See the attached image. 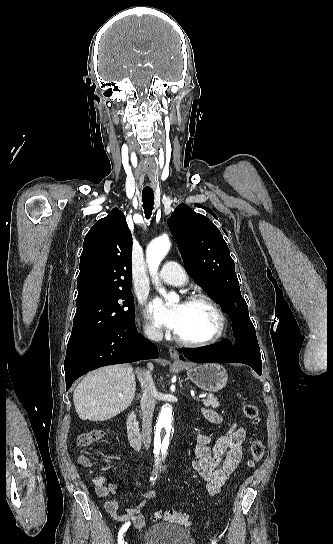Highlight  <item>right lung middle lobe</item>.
I'll use <instances>...</instances> for the list:
<instances>
[{"label": "right lung middle lobe", "instance_id": "obj_1", "mask_svg": "<svg viewBox=\"0 0 333 544\" xmlns=\"http://www.w3.org/2000/svg\"><path fill=\"white\" fill-rule=\"evenodd\" d=\"M131 289L94 294L77 300L67 350L134 321Z\"/></svg>", "mask_w": 333, "mask_h": 544}]
</instances>
